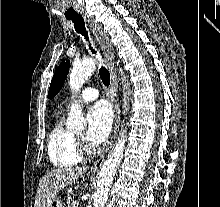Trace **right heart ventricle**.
<instances>
[{
    "label": "right heart ventricle",
    "mask_w": 220,
    "mask_h": 207,
    "mask_svg": "<svg viewBox=\"0 0 220 207\" xmlns=\"http://www.w3.org/2000/svg\"><path fill=\"white\" fill-rule=\"evenodd\" d=\"M47 151L50 161L57 167H71L82 160L76 152L74 134L64 127L61 118L51 129Z\"/></svg>",
    "instance_id": "obj_1"
}]
</instances>
